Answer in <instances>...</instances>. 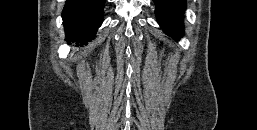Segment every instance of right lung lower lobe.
I'll use <instances>...</instances> for the list:
<instances>
[{
  "instance_id": "98d812e1",
  "label": "right lung lower lobe",
  "mask_w": 257,
  "mask_h": 130,
  "mask_svg": "<svg viewBox=\"0 0 257 130\" xmlns=\"http://www.w3.org/2000/svg\"><path fill=\"white\" fill-rule=\"evenodd\" d=\"M106 0H66L62 19L67 40L88 44L103 22Z\"/></svg>"
}]
</instances>
